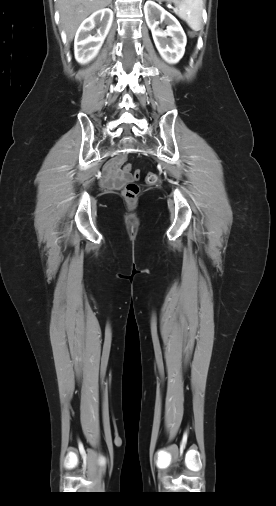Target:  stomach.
<instances>
[{"mask_svg":"<svg viewBox=\"0 0 276 506\" xmlns=\"http://www.w3.org/2000/svg\"><path fill=\"white\" fill-rule=\"evenodd\" d=\"M158 1H159V2L166 1V2H168V3H170V2H174V0H158Z\"/></svg>","mask_w":276,"mask_h":506,"instance_id":"0dacf381","label":"stomach"}]
</instances>
